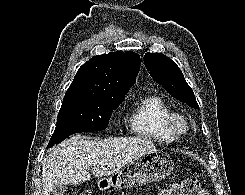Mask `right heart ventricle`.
<instances>
[{
	"mask_svg": "<svg viewBox=\"0 0 245 195\" xmlns=\"http://www.w3.org/2000/svg\"><path fill=\"white\" fill-rule=\"evenodd\" d=\"M171 112L167 103L157 95L139 97L127 115L129 133L157 142L176 140L164 126L165 117Z\"/></svg>",
	"mask_w": 245,
	"mask_h": 195,
	"instance_id": "1",
	"label": "right heart ventricle"
}]
</instances>
